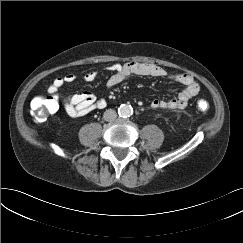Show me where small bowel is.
Masks as SVG:
<instances>
[{
	"mask_svg": "<svg viewBox=\"0 0 243 243\" xmlns=\"http://www.w3.org/2000/svg\"><path fill=\"white\" fill-rule=\"evenodd\" d=\"M112 71L111 76L107 80L108 87H114L131 75L151 76V77H166L167 71L151 63L140 62H125L114 63L110 66ZM98 73L90 71L85 74L86 81H93ZM172 78L182 84L184 88L174 98L163 100L153 99L150 103L152 108L160 109H184L191 98H193L200 89L195 78L188 73H177L172 75ZM76 76L73 74L65 75L54 79L48 87V93L57 97L65 112L71 117H82L96 109H103L107 106V101L104 98H97L90 92H82L71 94L66 97L59 98L58 91L65 84L73 83Z\"/></svg>",
	"mask_w": 243,
	"mask_h": 243,
	"instance_id": "1",
	"label": "small bowel"
}]
</instances>
